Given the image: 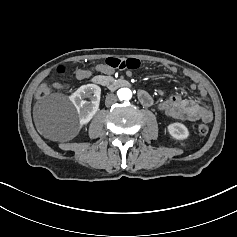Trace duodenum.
<instances>
[{
    "label": "duodenum",
    "mask_w": 237,
    "mask_h": 237,
    "mask_svg": "<svg viewBox=\"0 0 237 237\" xmlns=\"http://www.w3.org/2000/svg\"><path fill=\"white\" fill-rule=\"evenodd\" d=\"M92 82L95 85L107 88H120L130 86V82L125 79H112L105 75H96L92 78Z\"/></svg>",
    "instance_id": "1"
}]
</instances>
